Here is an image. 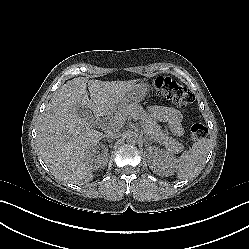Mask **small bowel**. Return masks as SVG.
Wrapping results in <instances>:
<instances>
[{
  "mask_svg": "<svg viewBox=\"0 0 249 249\" xmlns=\"http://www.w3.org/2000/svg\"><path fill=\"white\" fill-rule=\"evenodd\" d=\"M149 112L156 118L167 123L173 133H181L179 123L180 116L174 109L169 107L152 106L149 108Z\"/></svg>",
  "mask_w": 249,
  "mask_h": 249,
  "instance_id": "1",
  "label": "small bowel"
}]
</instances>
